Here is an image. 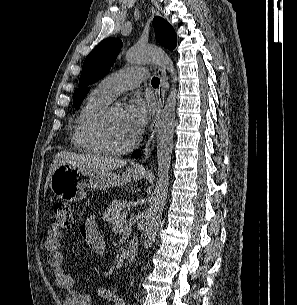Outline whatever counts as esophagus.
Listing matches in <instances>:
<instances>
[{
    "instance_id": "34e87169",
    "label": "esophagus",
    "mask_w": 297,
    "mask_h": 305,
    "mask_svg": "<svg viewBox=\"0 0 297 305\" xmlns=\"http://www.w3.org/2000/svg\"><path fill=\"white\" fill-rule=\"evenodd\" d=\"M157 72H158V75L160 77V86L158 88V96H157L158 110L156 112V115H155V117L153 119V122L151 123L150 129H149V136H148V140H147V142L145 144V147H144L143 156L139 160V162H137L135 164V168H137L139 170L144 169V165H145L146 161L148 160V158L152 154L154 144H155V135H156L158 123H159V120H160V114H161V110H162V107H163V104H164L165 93H166V89L168 87L165 67L164 66L158 67Z\"/></svg>"
}]
</instances>
